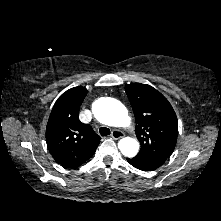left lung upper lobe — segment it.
<instances>
[{
	"label": "left lung upper lobe",
	"instance_id": "left-lung-upper-lobe-1",
	"mask_svg": "<svg viewBox=\"0 0 221 221\" xmlns=\"http://www.w3.org/2000/svg\"><path fill=\"white\" fill-rule=\"evenodd\" d=\"M125 91L134 111L135 131L141 144L136 156L161 166L176 145V114L168 100L150 85L128 84Z\"/></svg>",
	"mask_w": 221,
	"mask_h": 221
}]
</instances>
